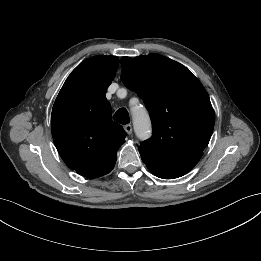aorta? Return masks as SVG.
I'll list each match as a JSON object with an SVG mask.
<instances>
[{
  "label": "aorta",
  "mask_w": 261,
  "mask_h": 261,
  "mask_svg": "<svg viewBox=\"0 0 261 261\" xmlns=\"http://www.w3.org/2000/svg\"><path fill=\"white\" fill-rule=\"evenodd\" d=\"M134 129L139 139H146L151 135V123L148 114L143 111L133 114Z\"/></svg>",
  "instance_id": "aorta-1"
}]
</instances>
